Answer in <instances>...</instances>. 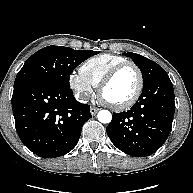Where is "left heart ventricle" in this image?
I'll return each mask as SVG.
<instances>
[{
	"label": "left heart ventricle",
	"instance_id": "left-heart-ventricle-1",
	"mask_svg": "<svg viewBox=\"0 0 193 193\" xmlns=\"http://www.w3.org/2000/svg\"><path fill=\"white\" fill-rule=\"evenodd\" d=\"M137 85L138 76L135 69L127 67L105 87L102 93L103 99L111 104H121L134 94Z\"/></svg>",
	"mask_w": 193,
	"mask_h": 193
}]
</instances>
